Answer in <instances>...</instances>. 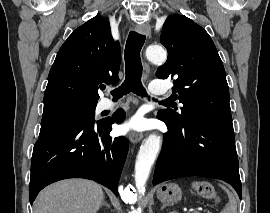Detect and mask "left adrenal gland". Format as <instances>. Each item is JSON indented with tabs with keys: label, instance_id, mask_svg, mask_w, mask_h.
<instances>
[{
	"label": "left adrenal gland",
	"instance_id": "1",
	"mask_svg": "<svg viewBox=\"0 0 270 213\" xmlns=\"http://www.w3.org/2000/svg\"><path fill=\"white\" fill-rule=\"evenodd\" d=\"M167 206V204L163 203V206L161 207V210L164 209Z\"/></svg>",
	"mask_w": 270,
	"mask_h": 213
}]
</instances>
